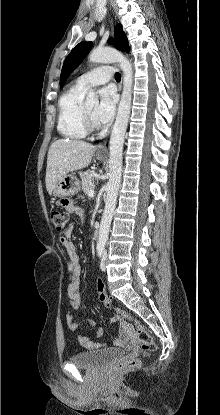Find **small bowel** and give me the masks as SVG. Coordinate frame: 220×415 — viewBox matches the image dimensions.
<instances>
[{"label":"small bowel","mask_w":220,"mask_h":415,"mask_svg":"<svg viewBox=\"0 0 220 415\" xmlns=\"http://www.w3.org/2000/svg\"><path fill=\"white\" fill-rule=\"evenodd\" d=\"M70 213L76 214L77 216L83 218L84 217V211L81 206L77 204H70L66 208ZM73 230V224L70 223L63 234L59 236V242L64 248L66 255L68 257V272L70 274V281L68 285V296L70 299V305H71V311L67 314L66 321L68 328L71 331H76L80 324L75 319L74 311L77 310L80 306L81 302V295L79 291L80 287V273H81V267L79 263V258L75 250V246L71 240ZM97 292H105V284L102 281H98L96 284ZM88 324L94 325L95 322L93 320H88ZM105 333L103 328H98L96 330V336H102ZM78 342L83 347L94 350V349H100L105 346V344L93 342L89 339V337L85 335H79L78 336ZM114 345H119L122 343V340L120 338H117L114 340Z\"/></svg>","instance_id":"c3829d8e"}]
</instances>
